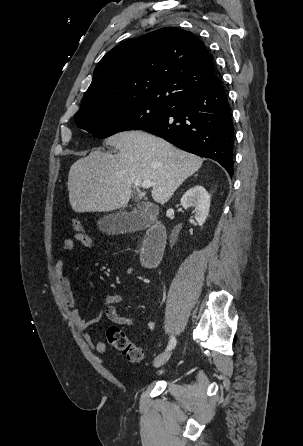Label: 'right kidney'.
I'll return each mask as SVG.
<instances>
[{"label": "right kidney", "mask_w": 303, "mask_h": 446, "mask_svg": "<svg viewBox=\"0 0 303 446\" xmlns=\"http://www.w3.org/2000/svg\"><path fill=\"white\" fill-rule=\"evenodd\" d=\"M181 205L184 209L194 207L195 219L199 226H202L209 214L210 195L204 187L194 186L182 196Z\"/></svg>", "instance_id": "ca27d5eb"}]
</instances>
